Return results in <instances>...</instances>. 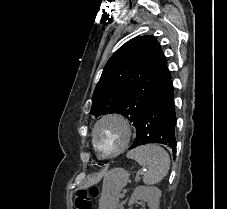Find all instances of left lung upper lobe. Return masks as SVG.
Returning <instances> with one entry per match:
<instances>
[{
	"mask_svg": "<svg viewBox=\"0 0 227 209\" xmlns=\"http://www.w3.org/2000/svg\"><path fill=\"white\" fill-rule=\"evenodd\" d=\"M171 80L166 57L152 35L135 37L109 59L92 97L91 115L118 113L133 126Z\"/></svg>",
	"mask_w": 227,
	"mask_h": 209,
	"instance_id": "left-lung-upper-lobe-1",
	"label": "left lung upper lobe"
}]
</instances>
